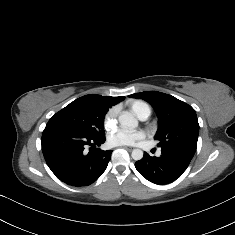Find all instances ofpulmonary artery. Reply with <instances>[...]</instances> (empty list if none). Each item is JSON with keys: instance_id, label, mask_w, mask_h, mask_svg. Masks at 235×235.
<instances>
[{"instance_id": "pulmonary-artery-1", "label": "pulmonary artery", "mask_w": 235, "mask_h": 235, "mask_svg": "<svg viewBox=\"0 0 235 235\" xmlns=\"http://www.w3.org/2000/svg\"><path fill=\"white\" fill-rule=\"evenodd\" d=\"M150 114H151L150 107L145 105L139 109L137 116L140 120L144 121L149 118Z\"/></svg>"}]
</instances>
